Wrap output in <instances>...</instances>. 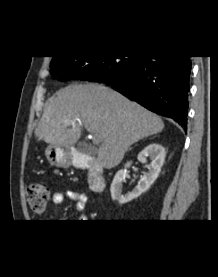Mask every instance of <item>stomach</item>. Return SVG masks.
<instances>
[{
    "label": "stomach",
    "instance_id": "obj_1",
    "mask_svg": "<svg viewBox=\"0 0 218 277\" xmlns=\"http://www.w3.org/2000/svg\"><path fill=\"white\" fill-rule=\"evenodd\" d=\"M47 160L51 165L57 167H68L71 165V157L67 148L62 146H49L45 150Z\"/></svg>",
    "mask_w": 218,
    "mask_h": 277
}]
</instances>
